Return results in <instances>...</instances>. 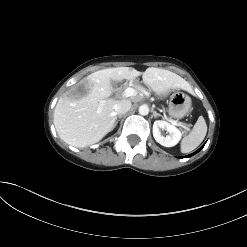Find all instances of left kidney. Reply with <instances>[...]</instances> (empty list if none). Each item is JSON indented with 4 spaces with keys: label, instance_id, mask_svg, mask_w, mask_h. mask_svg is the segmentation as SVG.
I'll return each instance as SVG.
<instances>
[{
    "label": "left kidney",
    "instance_id": "left-kidney-1",
    "mask_svg": "<svg viewBox=\"0 0 247 247\" xmlns=\"http://www.w3.org/2000/svg\"><path fill=\"white\" fill-rule=\"evenodd\" d=\"M160 129L166 130L169 135L166 137L161 135ZM153 136L154 139L165 147L175 146L181 139L182 133L175 126L162 120H156L153 124Z\"/></svg>",
    "mask_w": 247,
    "mask_h": 247
}]
</instances>
